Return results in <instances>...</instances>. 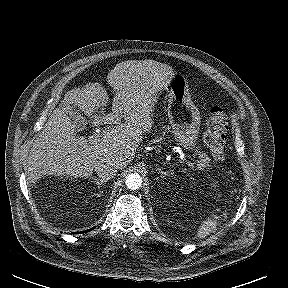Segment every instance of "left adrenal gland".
I'll use <instances>...</instances> for the list:
<instances>
[{"label": "left adrenal gland", "mask_w": 288, "mask_h": 288, "mask_svg": "<svg viewBox=\"0 0 288 288\" xmlns=\"http://www.w3.org/2000/svg\"><path fill=\"white\" fill-rule=\"evenodd\" d=\"M156 170L158 171V173L161 174V177H165L166 175H168L170 173L169 171H162V169L160 167H157Z\"/></svg>", "instance_id": "obj_1"}]
</instances>
